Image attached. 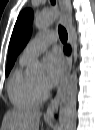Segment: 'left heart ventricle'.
I'll use <instances>...</instances> for the list:
<instances>
[{"label":"left heart ventricle","instance_id":"obj_1","mask_svg":"<svg viewBox=\"0 0 95 130\" xmlns=\"http://www.w3.org/2000/svg\"><path fill=\"white\" fill-rule=\"evenodd\" d=\"M43 81H44L43 76L38 77V78L35 79V82L40 83V84H43Z\"/></svg>","mask_w":95,"mask_h":130}]
</instances>
